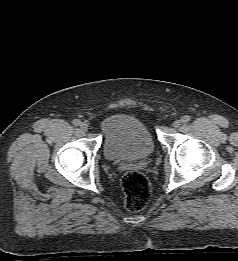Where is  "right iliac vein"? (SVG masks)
I'll use <instances>...</instances> for the list:
<instances>
[{
    "label": "right iliac vein",
    "instance_id": "right-iliac-vein-1",
    "mask_svg": "<svg viewBox=\"0 0 238 261\" xmlns=\"http://www.w3.org/2000/svg\"><path fill=\"white\" fill-rule=\"evenodd\" d=\"M80 128L82 131L86 132L88 130V126L85 123H81Z\"/></svg>",
    "mask_w": 238,
    "mask_h": 261
}]
</instances>
